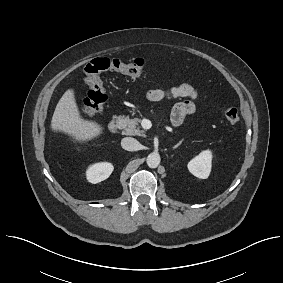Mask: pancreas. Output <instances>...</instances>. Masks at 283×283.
Here are the masks:
<instances>
[{"label": "pancreas", "instance_id": "obj_1", "mask_svg": "<svg viewBox=\"0 0 283 283\" xmlns=\"http://www.w3.org/2000/svg\"><path fill=\"white\" fill-rule=\"evenodd\" d=\"M141 120L139 118L130 119L127 117L121 118V129H123V134L133 135V136H145L144 130L140 129L139 123Z\"/></svg>", "mask_w": 283, "mask_h": 283}]
</instances>
